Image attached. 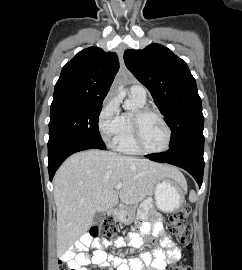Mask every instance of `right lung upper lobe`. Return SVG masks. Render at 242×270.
Wrapping results in <instances>:
<instances>
[{"instance_id":"right-lung-upper-lobe-1","label":"right lung upper lobe","mask_w":242,"mask_h":270,"mask_svg":"<svg viewBox=\"0 0 242 270\" xmlns=\"http://www.w3.org/2000/svg\"><path fill=\"white\" fill-rule=\"evenodd\" d=\"M119 69L118 56L90 47L77 53L61 71L51 106L102 103Z\"/></svg>"}]
</instances>
